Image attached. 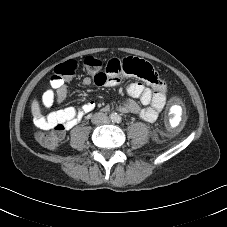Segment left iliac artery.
I'll list each match as a JSON object with an SVG mask.
<instances>
[{
	"mask_svg": "<svg viewBox=\"0 0 227 227\" xmlns=\"http://www.w3.org/2000/svg\"><path fill=\"white\" fill-rule=\"evenodd\" d=\"M115 121H116L117 123H120V122L122 121V118H121L120 116H116Z\"/></svg>",
	"mask_w": 227,
	"mask_h": 227,
	"instance_id": "44dca946",
	"label": "left iliac artery"
}]
</instances>
